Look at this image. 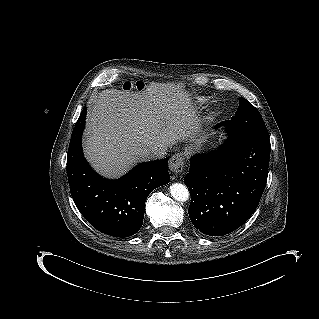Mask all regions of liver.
Returning a JSON list of instances; mask_svg holds the SVG:
<instances>
[{
	"label": "liver",
	"mask_w": 319,
	"mask_h": 319,
	"mask_svg": "<svg viewBox=\"0 0 319 319\" xmlns=\"http://www.w3.org/2000/svg\"><path fill=\"white\" fill-rule=\"evenodd\" d=\"M196 124L190 98L173 85L103 90L88 105L84 153L98 173L117 178L147 160L144 149H167L190 137Z\"/></svg>",
	"instance_id": "liver-1"
}]
</instances>
